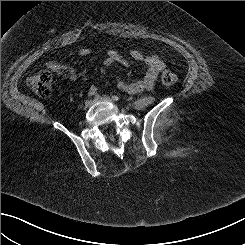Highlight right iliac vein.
<instances>
[{"mask_svg": "<svg viewBox=\"0 0 245 245\" xmlns=\"http://www.w3.org/2000/svg\"><path fill=\"white\" fill-rule=\"evenodd\" d=\"M94 101L92 99H89L85 102V108H89L93 105Z\"/></svg>", "mask_w": 245, "mask_h": 245, "instance_id": "right-iliac-vein-1", "label": "right iliac vein"}]
</instances>
